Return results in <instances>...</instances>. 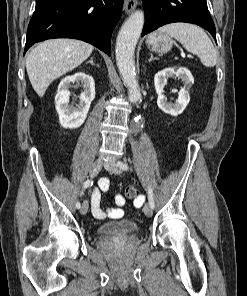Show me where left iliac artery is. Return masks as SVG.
<instances>
[{"label": "left iliac artery", "instance_id": "44dca946", "mask_svg": "<svg viewBox=\"0 0 247 296\" xmlns=\"http://www.w3.org/2000/svg\"><path fill=\"white\" fill-rule=\"evenodd\" d=\"M117 165L122 170H127L128 169V165L126 163L118 162ZM148 200H149V204H150L151 208L154 209L155 204H154V199H153V192H152V189L150 187L148 188Z\"/></svg>", "mask_w": 247, "mask_h": 296}]
</instances>
